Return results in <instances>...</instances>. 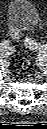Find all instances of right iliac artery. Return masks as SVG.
<instances>
[{
	"label": "right iliac artery",
	"instance_id": "right-iliac-artery-1",
	"mask_svg": "<svg viewBox=\"0 0 47 129\" xmlns=\"http://www.w3.org/2000/svg\"><path fill=\"white\" fill-rule=\"evenodd\" d=\"M1 45H9V43L7 41H3Z\"/></svg>",
	"mask_w": 47,
	"mask_h": 129
}]
</instances>
